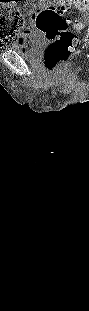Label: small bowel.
<instances>
[{"label":"small bowel","mask_w":89,"mask_h":311,"mask_svg":"<svg viewBox=\"0 0 89 311\" xmlns=\"http://www.w3.org/2000/svg\"><path fill=\"white\" fill-rule=\"evenodd\" d=\"M28 30H29L28 26L21 24L20 28L17 29V31H12L9 33V38L10 40H12V42L20 43L25 39L27 33H29Z\"/></svg>","instance_id":"c3829d8e"}]
</instances>
